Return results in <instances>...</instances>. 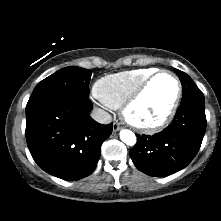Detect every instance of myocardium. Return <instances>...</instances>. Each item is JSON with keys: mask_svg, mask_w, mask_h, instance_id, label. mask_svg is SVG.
I'll use <instances>...</instances> for the list:
<instances>
[{"mask_svg": "<svg viewBox=\"0 0 221 221\" xmlns=\"http://www.w3.org/2000/svg\"><path fill=\"white\" fill-rule=\"evenodd\" d=\"M162 74H167L171 76L176 83V94L168 112L159 121L155 123L143 124L135 122L134 120H132L129 114L131 108L139 101V99L142 97V95L149 87V85L152 83V81ZM181 96H182V84L179 78L177 77V75L170 70L160 69L152 73L146 79H144L137 86V88L129 95V97L124 101V103L121 106V114L124 121L134 130L142 133H149V134L155 133L162 130L172 121L178 109Z\"/></svg>", "mask_w": 221, "mask_h": 221, "instance_id": "obj_1", "label": "myocardium"}]
</instances>
